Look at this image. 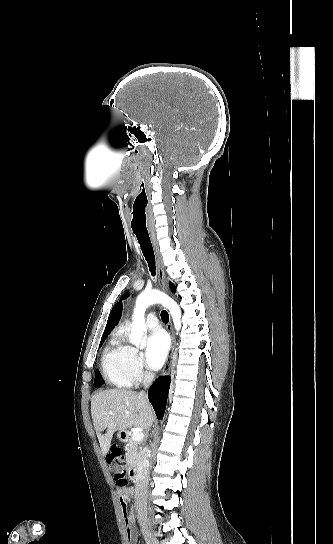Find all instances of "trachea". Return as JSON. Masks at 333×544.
Instances as JSON below:
<instances>
[{"instance_id":"1","label":"trachea","mask_w":333,"mask_h":544,"mask_svg":"<svg viewBox=\"0 0 333 544\" xmlns=\"http://www.w3.org/2000/svg\"><path fill=\"white\" fill-rule=\"evenodd\" d=\"M135 235L140 244L142 253L148 263L149 270L154 276L155 275V255H154L153 247L150 241V237L148 233L144 234V233L135 232ZM161 319L165 323L169 321V314L167 313V311L163 310L161 312Z\"/></svg>"}]
</instances>
